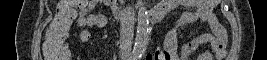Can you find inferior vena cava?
I'll list each match as a JSON object with an SVG mask.
<instances>
[{
	"instance_id": "obj_1",
	"label": "inferior vena cava",
	"mask_w": 267,
	"mask_h": 60,
	"mask_svg": "<svg viewBox=\"0 0 267 60\" xmlns=\"http://www.w3.org/2000/svg\"><path fill=\"white\" fill-rule=\"evenodd\" d=\"M120 24H121V31L125 33L128 37L132 36L133 23L132 20L130 19L129 9L127 10L125 9L124 12L122 13Z\"/></svg>"
}]
</instances>
